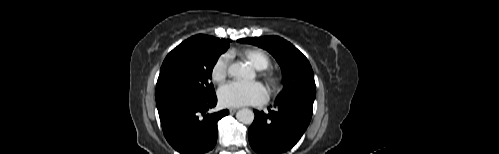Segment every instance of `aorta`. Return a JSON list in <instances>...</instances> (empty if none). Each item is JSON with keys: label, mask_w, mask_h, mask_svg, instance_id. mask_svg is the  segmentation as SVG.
Here are the masks:
<instances>
[{"label": "aorta", "mask_w": 499, "mask_h": 154, "mask_svg": "<svg viewBox=\"0 0 499 154\" xmlns=\"http://www.w3.org/2000/svg\"><path fill=\"white\" fill-rule=\"evenodd\" d=\"M228 74L232 77L244 80H252L255 73L250 66L243 63H233L228 68ZM236 118L243 124H252L254 112L250 109H242L236 113Z\"/></svg>", "instance_id": "obj_1"}]
</instances>
